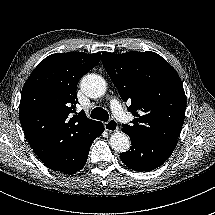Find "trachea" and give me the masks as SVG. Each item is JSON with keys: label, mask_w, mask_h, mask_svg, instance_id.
Masks as SVG:
<instances>
[{"label": "trachea", "mask_w": 215, "mask_h": 215, "mask_svg": "<svg viewBox=\"0 0 215 215\" xmlns=\"http://www.w3.org/2000/svg\"><path fill=\"white\" fill-rule=\"evenodd\" d=\"M90 117L93 119H98L103 122H107L109 120V114L105 109L101 107H96L92 110Z\"/></svg>", "instance_id": "trachea-1"}]
</instances>
